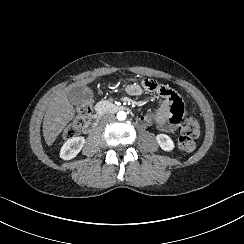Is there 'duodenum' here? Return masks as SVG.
Returning a JSON list of instances; mask_svg holds the SVG:
<instances>
[{
	"instance_id": "obj_1",
	"label": "duodenum",
	"mask_w": 244,
	"mask_h": 244,
	"mask_svg": "<svg viewBox=\"0 0 244 244\" xmlns=\"http://www.w3.org/2000/svg\"><path fill=\"white\" fill-rule=\"evenodd\" d=\"M126 109V105L124 104H116L115 105V110L119 111V110H125ZM101 114V109L99 108L97 113L93 116V119H90V121L86 124L85 126V130L87 132H91L94 129V119H96L99 115Z\"/></svg>"
}]
</instances>
